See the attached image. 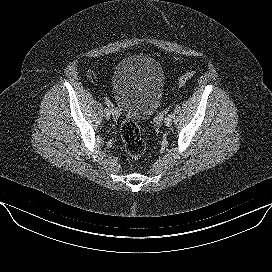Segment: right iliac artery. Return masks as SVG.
I'll use <instances>...</instances> for the list:
<instances>
[{
  "instance_id": "82829eb1",
  "label": "right iliac artery",
  "mask_w": 272,
  "mask_h": 272,
  "mask_svg": "<svg viewBox=\"0 0 272 272\" xmlns=\"http://www.w3.org/2000/svg\"><path fill=\"white\" fill-rule=\"evenodd\" d=\"M103 113H104V114H107V113H108V109L105 108V109L103 110Z\"/></svg>"
}]
</instances>
